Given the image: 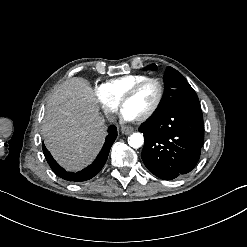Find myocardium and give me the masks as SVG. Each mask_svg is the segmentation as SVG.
Instances as JSON below:
<instances>
[{
  "label": "myocardium",
  "mask_w": 247,
  "mask_h": 247,
  "mask_svg": "<svg viewBox=\"0 0 247 247\" xmlns=\"http://www.w3.org/2000/svg\"><path fill=\"white\" fill-rule=\"evenodd\" d=\"M147 83H155L158 86L159 94L158 99L154 107L143 117L139 119L141 122H146L152 119L160 110L164 97H165V85L161 79L156 77H146L145 79L141 80L137 84H135L131 90L126 93L119 101V106L122 108L127 102L134 99L139 90Z\"/></svg>",
  "instance_id": "1"
}]
</instances>
